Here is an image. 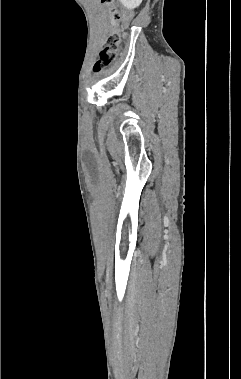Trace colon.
Masks as SVG:
<instances>
[{
  "instance_id": "colon-1",
  "label": "colon",
  "mask_w": 241,
  "mask_h": 379,
  "mask_svg": "<svg viewBox=\"0 0 241 379\" xmlns=\"http://www.w3.org/2000/svg\"><path fill=\"white\" fill-rule=\"evenodd\" d=\"M100 1L106 7L113 23L123 21L124 25L132 24V8H117L115 5V0ZM119 44L120 34L118 31L114 30L106 37L104 41L102 49L99 52L98 60L95 64V71H101L115 60Z\"/></svg>"
}]
</instances>
